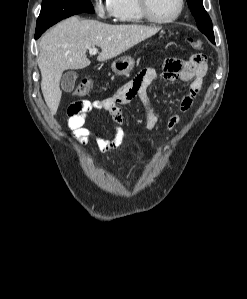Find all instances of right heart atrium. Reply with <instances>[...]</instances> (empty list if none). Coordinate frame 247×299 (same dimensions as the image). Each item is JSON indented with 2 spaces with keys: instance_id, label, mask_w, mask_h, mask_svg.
Returning <instances> with one entry per match:
<instances>
[{
  "instance_id": "obj_1",
  "label": "right heart atrium",
  "mask_w": 247,
  "mask_h": 299,
  "mask_svg": "<svg viewBox=\"0 0 247 299\" xmlns=\"http://www.w3.org/2000/svg\"><path fill=\"white\" fill-rule=\"evenodd\" d=\"M111 1L112 0H92L94 11L99 18L105 19L112 15Z\"/></svg>"
}]
</instances>
